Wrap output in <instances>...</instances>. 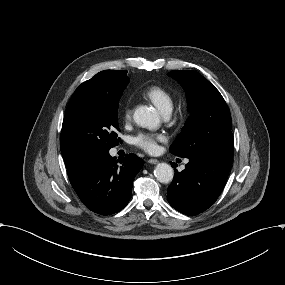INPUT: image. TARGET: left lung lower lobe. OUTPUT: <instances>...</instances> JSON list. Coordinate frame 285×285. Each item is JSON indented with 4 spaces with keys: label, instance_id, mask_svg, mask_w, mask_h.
<instances>
[{
    "label": "left lung lower lobe",
    "instance_id": "1",
    "mask_svg": "<svg viewBox=\"0 0 285 285\" xmlns=\"http://www.w3.org/2000/svg\"><path fill=\"white\" fill-rule=\"evenodd\" d=\"M188 159L182 172L175 169L176 174L167 189V199L177 211L197 215L208 209L220 195L232 159L218 155H199Z\"/></svg>",
    "mask_w": 285,
    "mask_h": 285
}]
</instances>
